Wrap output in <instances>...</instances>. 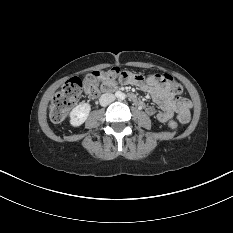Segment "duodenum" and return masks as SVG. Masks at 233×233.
I'll return each mask as SVG.
<instances>
[{"instance_id": "obj_1", "label": "duodenum", "mask_w": 233, "mask_h": 233, "mask_svg": "<svg viewBox=\"0 0 233 233\" xmlns=\"http://www.w3.org/2000/svg\"><path fill=\"white\" fill-rule=\"evenodd\" d=\"M129 99L137 105L140 104V100L132 93L129 94Z\"/></svg>"}]
</instances>
